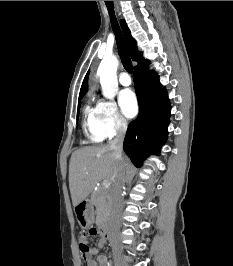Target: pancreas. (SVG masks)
Wrapping results in <instances>:
<instances>
[{
    "mask_svg": "<svg viewBox=\"0 0 233 266\" xmlns=\"http://www.w3.org/2000/svg\"><path fill=\"white\" fill-rule=\"evenodd\" d=\"M92 203L97 209V220L100 222L109 214L110 209V194L109 191L103 188L94 191L91 196Z\"/></svg>",
    "mask_w": 233,
    "mask_h": 266,
    "instance_id": "cf45deb5",
    "label": "pancreas"
}]
</instances>
